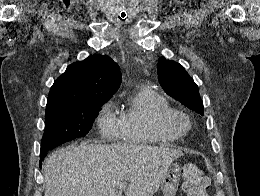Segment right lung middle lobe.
I'll list each match as a JSON object with an SVG mask.
<instances>
[{
  "label": "right lung middle lobe",
  "instance_id": "1",
  "mask_svg": "<svg viewBox=\"0 0 260 196\" xmlns=\"http://www.w3.org/2000/svg\"><path fill=\"white\" fill-rule=\"evenodd\" d=\"M106 101L92 100L47 106L41 149H53L75 138L84 137Z\"/></svg>",
  "mask_w": 260,
  "mask_h": 196
}]
</instances>
